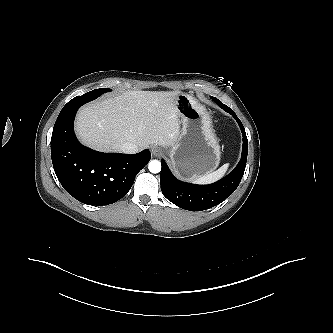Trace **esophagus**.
Wrapping results in <instances>:
<instances>
[{
	"mask_svg": "<svg viewBox=\"0 0 333 333\" xmlns=\"http://www.w3.org/2000/svg\"><path fill=\"white\" fill-rule=\"evenodd\" d=\"M151 153L153 156H160L162 154L161 150L159 148L153 147L151 149Z\"/></svg>",
	"mask_w": 333,
	"mask_h": 333,
	"instance_id": "obj_1",
	"label": "esophagus"
}]
</instances>
